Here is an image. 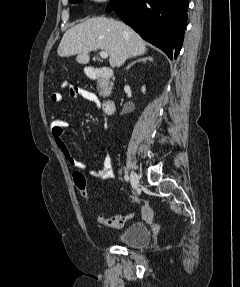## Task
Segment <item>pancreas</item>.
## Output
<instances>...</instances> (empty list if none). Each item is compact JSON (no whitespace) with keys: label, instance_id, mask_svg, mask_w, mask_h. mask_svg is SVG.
I'll use <instances>...</instances> for the list:
<instances>
[{"label":"pancreas","instance_id":"pancreas-1","mask_svg":"<svg viewBox=\"0 0 240 287\" xmlns=\"http://www.w3.org/2000/svg\"><path fill=\"white\" fill-rule=\"evenodd\" d=\"M112 85H113L112 83L110 85H108V84H104V85L99 84L98 85L99 95L104 97L107 93H109L111 91Z\"/></svg>","mask_w":240,"mask_h":287}]
</instances>
